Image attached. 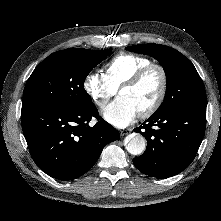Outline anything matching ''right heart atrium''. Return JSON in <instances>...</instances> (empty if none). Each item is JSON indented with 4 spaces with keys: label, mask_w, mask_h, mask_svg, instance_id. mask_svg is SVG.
<instances>
[{
    "label": "right heart atrium",
    "mask_w": 221,
    "mask_h": 221,
    "mask_svg": "<svg viewBox=\"0 0 221 221\" xmlns=\"http://www.w3.org/2000/svg\"><path fill=\"white\" fill-rule=\"evenodd\" d=\"M83 89L91 101L103 108L117 89L109 82L104 73L90 71L83 79Z\"/></svg>",
    "instance_id": "d8ad5b80"
}]
</instances>
